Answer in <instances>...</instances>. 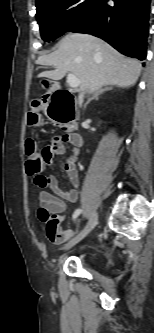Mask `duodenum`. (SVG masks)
Wrapping results in <instances>:
<instances>
[{
    "label": "duodenum",
    "instance_id": "1",
    "mask_svg": "<svg viewBox=\"0 0 154 333\" xmlns=\"http://www.w3.org/2000/svg\"><path fill=\"white\" fill-rule=\"evenodd\" d=\"M64 91L68 94V101L66 104L58 101L57 107L55 106L51 111V116L54 119L64 118L66 120H72L69 124L70 133H75L74 129L77 125V118L74 111V96L67 90H61L60 87L56 84H53L50 89V94L56 96L59 92Z\"/></svg>",
    "mask_w": 154,
    "mask_h": 333
}]
</instances>
